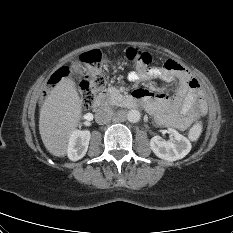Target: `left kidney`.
<instances>
[{
    "mask_svg": "<svg viewBox=\"0 0 233 233\" xmlns=\"http://www.w3.org/2000/svg\"><path fill=\"white\" fill-rule=\"evenodd\" d=\"M171 138L164 140L156 135L150 140V148L154 154L167 161H176L184 158L191 150L190 141L175 129H169Z\"/></svg>",
    "mask_w": 233,
    "mask_h": 233,
    "instance_id": "obj_1",
    "label": "left kidney"
}]
</instances>
